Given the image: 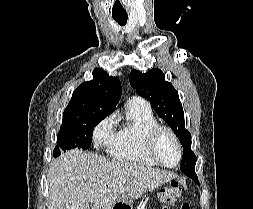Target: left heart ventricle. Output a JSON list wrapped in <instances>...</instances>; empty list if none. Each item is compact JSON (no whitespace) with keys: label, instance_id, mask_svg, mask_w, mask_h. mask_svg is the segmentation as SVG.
<instances>
[{"label":"left heart ventricle","instance_id":"obj_1","mask_svg":"<svg viewBox=\"0 0 253 209\" xmlns=\"http://www.w3.org/2000/svg\"><path fill=\"white\" fill-rule=\"evenodd\" d=\"M155 152L166 164L173 165L178 159V151L173 138L167 132H161L155 143Z\"/></svg>","mask_w":253,"mask_h":209}]
</instances>
